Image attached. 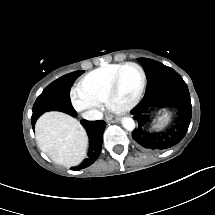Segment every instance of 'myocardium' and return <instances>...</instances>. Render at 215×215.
Instances as JSON below:
<instances>
[{"label":"myocardium","instance_id":"myocardium-1","mask_svg":"<svg viewBox=\"0 0 215 215\" xmlns=\"http://www.w3.org/2000/svg\"><path fill=\"white\" fill-rule=\"evenodd\" d=\"M127 67L134 68L138 73V83L133 96L129 93L123 94L116 90L117 84L119 82L118 79L121 75L120 70ZM114 73L115 74L112 77L113 81L110 86L111 90L109 91L107 97V106L109 109L115 110L119 115L127 114L131 110L130 106L135 105L139 101L146 83V76L141 66L135 62H124L119 64V68L115 70Z\"/></svg>","mask_w":215,"mask_h":215}]
</instances>
